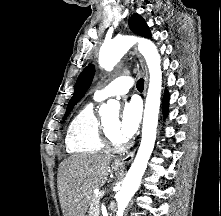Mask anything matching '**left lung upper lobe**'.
<instances>
[{
  "mask_svg": "<svg viewBox=\"0 0 221 216\" xmlns=\"http://www.w3.org/2000/svg\"><path fill=\"white\" fill-rule=\"evenodd\" d=\"M129 27L133 32L137 33L138 35L148 38L151 37V33L147 24L145 23L144 19L138 14H134L129 19ZM94 73V66L88 65L79 75L75 85L74 94L70 99L69 103L67 104V110L64 119L73 109L74 105L85 95V92L87 91L92 82Z\"/></svg>",
  "mask_w": 221,
  "mask_h": 216,
  "instance_id": "1",
  "label": "left lung upper lobe"
}]
</instances>
